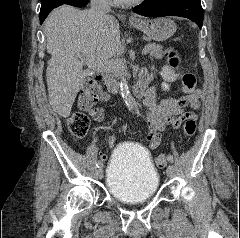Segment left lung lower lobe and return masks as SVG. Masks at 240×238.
<instances>
[{"mask_svg":"<svg viewBox=\"0 0 240 238\" xmlns=\"http://www.w3.org/2000/svg\"><path fill=\"white\" fill-rule=\"evenodd\" d=\"M137 14L146 17L181 16L203 24V9L200 0H144L133 8Z\"/></svg>","mask_w":240,"mask_h":238,"instance_id":"0a47b994","label":"left lung lower lobe"}]
</instances>
